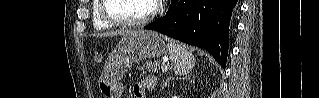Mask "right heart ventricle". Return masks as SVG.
I'll list each match as a JSON object with an SVG mask.
<instances>
[{
  "label": "right heart ventricle",
  "mask_w": 319,
  "mask_h": 98,
  "mask_svg": "<svg viewBox=\"0 0 319 98\" xmlns=\"http://www.w3.org/2000/svg\"><path fill=\"white\" fill-rule=\"evenodd\" d=\"M100 5L101 0H94L91 7L92 25L93 28L98 31L107 30L112 27L110 24H108L102 19L100 14Z\"/></svg>",
  "instance_id": "e07e8e85"
}]
</instances>
